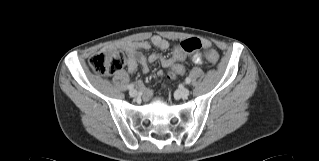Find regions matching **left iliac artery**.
<instances>
[{"instance_id": "obj_1", "label": "left iliac artery", "mask_w": 319, "mask_h": 161, "mask_svg": "<svg viewBox=\"0 0 319 161\" xmlns=\"http://www.w3.org/2000/svg\"><path fill=\"white\" fill-rule=\"evenodd\" d=\"M190 82H191V79H190L189 77H187V78L185 79V83H186V84H190Z\"/></svg>"}]
</instances>
